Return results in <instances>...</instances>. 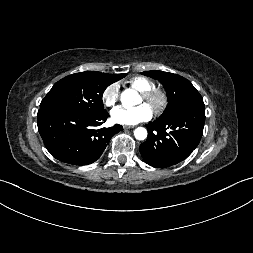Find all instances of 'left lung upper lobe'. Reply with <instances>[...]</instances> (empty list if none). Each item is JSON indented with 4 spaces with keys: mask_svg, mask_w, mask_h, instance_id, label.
Returning <instances> with one entry per match:
<instances>
[{
    "mask_svg": "<svg viewBox=\"0 0 253 253\" xmlns=\"http://www.w3.org/2000/svg\"><path fill=\"white\" fill-rule=\"evenodd\" d=\"M141 74L157 79L164 86L168 105L158 120H165L187 107L201 95L190 81L177 74L163 71H145Z\"/></svg>",
    "mask_w": 253,
    "mask_h": 253,
    "instance_id": "left-lung-upper-lobe-1",
    "label": "left lung upper lobe"
}]
</instances>
